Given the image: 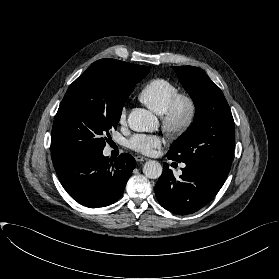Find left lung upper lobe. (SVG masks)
Segmentation results:
<instances>
[{"label":"left lung upper lobe","instance_id":"obj_1","mask_svg":"<svg viewBox=\"0 0 279 279\" xmlns=\"http://www.w3.org/2000/svg\"><path fill=\"white\" fill-rule=\"evenodd\" d=\"M196 107L188 132L176 140L167 157L186 166L205 168L226 179L234 152V120L219 87L194 66L173 68Z\"/></svg>","mask_w":279,"mask_h":279}]
</instances>
